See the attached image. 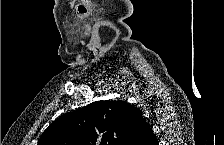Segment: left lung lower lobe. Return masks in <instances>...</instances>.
<instances>
[{
	"label": "left lung lower lobe",
	"mask_w": 224,
	"mask_h": 145,
	"mask_svg": "<svg viewBox=\"0 0 224 145\" xmlns=\"http://www.w3.org/2000/svg\"><path fill=\"white\" fill-rule=\"evenodd\" d=\"M157 139L155 138L150 125L142 118L139 122V126L136 134L130 142V145H157Z\"/></svg>",
	"instance_id": "1"
}]
</instances>
